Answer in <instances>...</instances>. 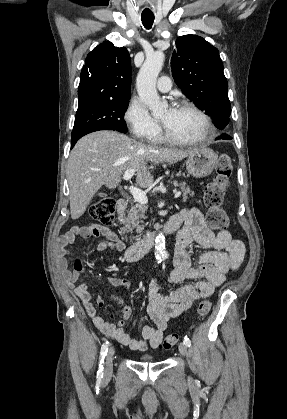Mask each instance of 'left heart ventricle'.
Masks as SVG:
<instances>
[{
	"instance_id": "b2bd125f",
	"label": "left heart ventricle",
	"mask_w": 287,
	"mask_h": 419,
	"mask_svg": "<svg viewBox=\"0 0 287 419\" xmlns=\"http://www.w3.org/2000/svg\"><path fill=\"white\" fill-rule=\"evenodd\" d=\"M160 119L168 132L176 138L193 140L205 133L200 117L185 108H176L172 114L165 110Z\"/></svg>"
}]
</instances>
